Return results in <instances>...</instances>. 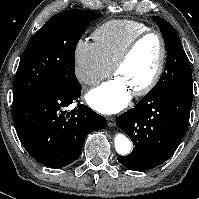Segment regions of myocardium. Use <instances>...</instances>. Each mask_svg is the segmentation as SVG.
Instances as JSON below:
<instances>
[{
	"label": "myocardium",
	"instance_id": "myocardium-1",
	"mask_svg": "<svg viewBox=\"0 0 199 199\" xmlns=\"http://www.w3.org/2000/svg\"><path fill=\"white\" fill-rule=\"evenodd\" d=\"M151 35L156 36L160 43L161 53H160L159 62L151 79L144 86L132 92L134 96H145L149 94L157 86L163 75L167 59V45L163 35L155 29H149L138 34L125 46V48L118 55V57L115 59L112 65V72L113 74L116 75L118 69L128 60V58L131 56L137 45L144 38Z\"/></svg>",
	"mask_w": 199,
	"mask_h": 199
}]
</instances>
